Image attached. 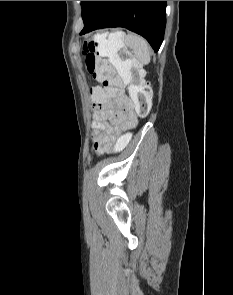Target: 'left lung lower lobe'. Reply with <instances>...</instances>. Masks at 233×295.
Listing matches in <instances>:
<instances>
[{"instance_id":"left-lung-lower-lobe-1","label":"left lung lower lobe","mask_w":233,"mask_h":295,"mask_svg":"<svg viewBox=\"0 0 233 295\" xmlns=\"http://www.w3.org/2000/svg\"><path fill=\"white\" fill-rule=\"evenodd\" d=\"M166 25V1H96L80 35L99 28L124 27L143 36L157 51Z\"/></svg>"}]
</instances>
